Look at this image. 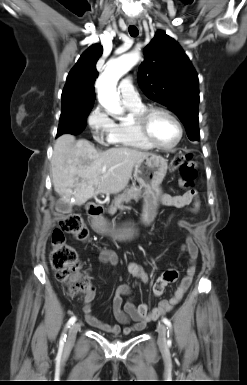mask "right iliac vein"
Here are the masks:
<instances>
[{
    "label": "right iliac vein",
    "mask_w": 247,
    "mask_h": 385,
    "mask_svg": "<svg viewBox=\"0 0 247 385\" xmlns=\"http://www.w3.org/2000/svg\"><path fill=\"white\" fill-rule=\"evenodd\" d=\"M79 328H80V323H74L70 327L69 332H68V342L74 341Z\"/></svg>",
    "instance_id": "obj_1"
}]
</instances>
